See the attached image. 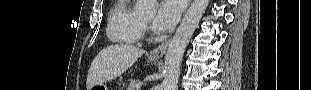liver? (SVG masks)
Instances as JSON below:
<instances>
[{
	"label": "liver",
	"instance_id": "liver-1",
	"mask_svg": "<svg viewBox=\"0 0 311 90\" xmlns=\"http://www.w3.org/2000/svg\"><path fill=\"white\" fill-rule=\"evenodd\" d=\"M144 53L143 49L128 44L107 46L91 63L86 81L87 90L122 75Z\"/></svg>",
	"mask_w": 311,
	"mask_h": 90
}]
</instances>
